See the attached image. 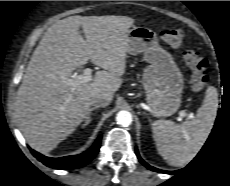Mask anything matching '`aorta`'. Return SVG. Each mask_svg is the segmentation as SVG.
Masks as SVG:
<instances>
[{
	"label": "aorta",
	"mask_w": 230,
	"mask_h": 186,
	"mask_svg": "<svg viewBox=\"0 0 230 186\" xmlns=\"http://www.w3.org/2000/svg\"><path fill=\"white\" fill-rule=\"evenodd\" d=\"M132 115L130 112L122 110L119 111L116 115V122L117 124L127 127L132 123Z\"/></svg>",
	"instance_id": "aorta-1"
}]
</instances>
